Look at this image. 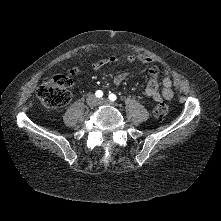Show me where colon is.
I'll return each mask as SVG.
<instances>
[{"mask_svg":"<svg viewBox=\"0 0 221 221\" xmlns=\"http://www.w3.org/2000/svg\"><path fill=\"white\" fill-rule=\"evenodd\" d=\"M78 73V68H70L64 74H58L45 79L37 89V96L42 105L48 109H58L67 105L71 100L69 87L73 77ZM168 106L159 103L154 108V115L162 118L168 113Z\"/></svg>","mask_w":221,"mask_h":221,"instance_id":"1","label":"colon"}]
</instances>
